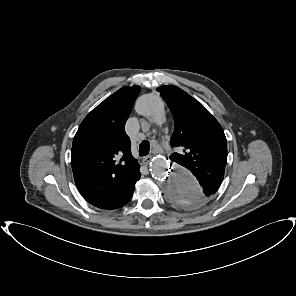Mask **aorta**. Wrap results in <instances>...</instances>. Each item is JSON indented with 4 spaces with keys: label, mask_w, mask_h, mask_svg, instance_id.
Instances as JSON below:
<instances>
[{
    "label": "aorta",
    "mask_w": 296,
    "mask_h": 296,
    "mask_svg": "<svg viewBox=\"0 0 296 296\" xmlns=\"http://www.w3.org/2000/svg\"><path fill=\"white\" fill-rule=\"evenodd\" d=\"M136 111L156 124L160 125L166 121L164 103L157 95L140 96L136 102ZM150 170L171 204L184 210H193L203 202V187L178 162L155 157L151 162Z\"/></svg>",
    "instance_id": "aorta-1"
}]
</instances>
